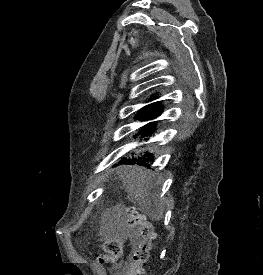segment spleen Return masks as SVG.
I'll list each match as a JSON object with an SVG mask.
<instances>
[{
  "mask_svg": "<svg viewBox=\"0 0 263 275\" xmlns=\"http://www.w3.org/2000/svg\"><path fill=\"white\" fill-rule=\"evenodd\" d=\"M127 188L132 192L135 199L148 210L150 213L153 205L157 207L155 212L151 213L152 217L162 218L164 208L160 205L158 196L152 194L155 188L152 175L140 168H127L125 175Z\"/></svg>",
  "mask_w": 263,
  "mask_h": 275,
  "instance_id": "obj_1",
  "label": "spleen"
}]
</instances>
